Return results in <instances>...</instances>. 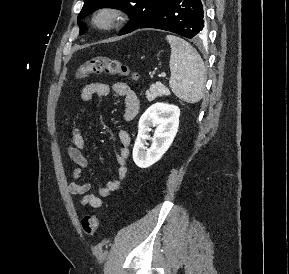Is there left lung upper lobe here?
<instances>
[{
  "label": "left lung upper lobe",
  "mask_w": 289,
  "mask_h": 274,
  "mask_svg": "<svg viewBox=\"0 0 289 274\" xmlns=\"http://www.w3.org/2000/svg\"><path fill=\"white\" fill-rule=\"evenodd\" d=\"M165 0H84V5L78 15L82 19L97 9L110 7L124 10L130 18L120 35L134 31L142 25L159 8ZM80 34L85 33L86 26L78 22Z\"/></svg>",
  "instance_id": "obj_1"
}]
</instances>
